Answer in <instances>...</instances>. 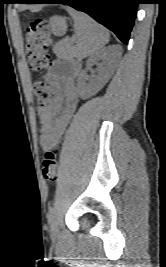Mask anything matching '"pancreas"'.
Instances as JSON below:
<instances>
[{"instance_id": "pancreas-1", "label": "pancreas", "mask_w": 166, "mask_h": 267, "mask_svg": "<svg viewBox=\"0 0 166 267\" xmlns=\"http://www.w3.org/2000/svg\"><path fill=\"white\" fill-rule=\"evenodd\" d=\"M54 53L62 59H69L73 57L71 43L68 41L58 42L53 49Z\"/></svg>"}]
</instances>
